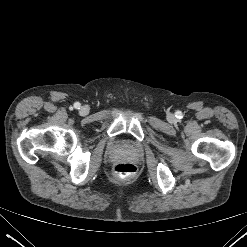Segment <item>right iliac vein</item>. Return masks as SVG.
Returning a JSON list of instances; mask_svg holds the SVG:
<instances>
[{
  "label": "right iliac vein",
  "mask_w": 247,
  "mask_h": 247,
  "mask_svg": "<svg viewBox=\"0 0 247 247\" xmlns=\"http://www.w3.org/2000/svg\"><path fill=\"white\" fill-rule=\"evenodd\" d=\"M88 112H89V110H88L87 107H82V108L80 109V114L83 115V116H84V115H87Z\"/></svg>",
  "instance_id": "right-iliac-vein-1"
}]
</instances>
